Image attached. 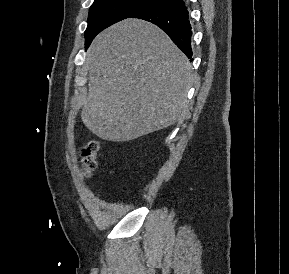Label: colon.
Returning a JSON list of instances; mask_svg holds the SVG:
<instances>
[{
  "mask_svg": "<svg viewBox=\"0 0 289 274\" xmlns=\"http://www.w3.org/2000/svg\"><path fill=\"white\" fill-rule=\"evenodd\" d=\"M99 149L98 141L89 140L80 148V157L85 174L88 176L96 168V156Z\"/></svg>",
  "mask_w": 289,
  "mask_h": 274,
  "instance_id": "colon-1",
  "label": "colon"
}]
</instances>
